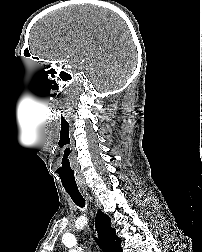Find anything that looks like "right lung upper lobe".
Returning <instances> with one entry per match:
<instances>
[{
  "instance_id": "obj_1",
  "label": "right lung upper lobe",
  "mask_w": 202,
  "mask_h": 252,
  "mask_svg": "<svg viewBox=\"0 0 202 252\" xmlns=\"http://www.w3.org/2000/svg\"><path fill=\"white\" fill-rule=\"evenodd\" d=\"M99 244L104 252H121V239L116 236L115 229L110 225V217L102 211H98L95 223Z\"/></svg>"
}]
</instances>
